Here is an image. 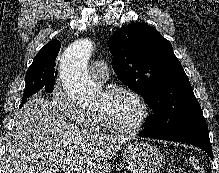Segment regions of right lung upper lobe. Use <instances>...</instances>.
I'll return each instance as SVG.
<instances>
[{
  "mask_svg": "<svg viewBox=\"0 0 219 173\" xmlns=\"http://www.w3.org/2000/svg\"><path fill=\"white\" fill-rule=\"evenodd\" d=\"M61 43L54 39L46 44L36 55L31 66H39L45 72L54 73L55 60L60 50Z\"/></svg>",
  "mask_w": 219,
  "mask_h": 173,
  "instance_id": "obj_1",
  "label": "right lung upper lobe"
}]
</instances>
